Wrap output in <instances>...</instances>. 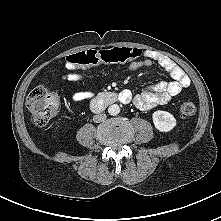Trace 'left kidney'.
Listing matches in <instances>:
<instances>
[{
    "mask_svg": "<svg viewBox=\"0 0 221 221\" xmlns=\"http://www.w3.org/2000/svg\"><path fill=\"white\" fill-rule=\"evenodd\" d=\"M154 126L160 132H169L176 126L174 116L166 111L158 110L152 114Z\"/></svg>",
    "mask_w": 221,
    "mask_h": 221,
    "instance_id": "obj_1",
    "label": "left kidney"
}]
</instances>
